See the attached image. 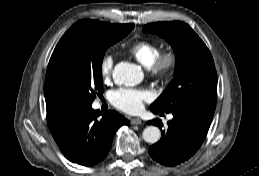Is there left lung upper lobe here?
Masks as SVG:
<instances>
[{"instance_id":"5c2ea615","label":"left lung upper lobe","mask_w":259,"mask_h":176,"mask_svg":"<svg viewBox=\"0 0 259 176\" xmlns=\"http://www.w3.org/2000/svg\"><path fill=\"white\" fill-rule=\"evenodd\" d=\"M143 31L163 37L176 54L174 79L150 109L167 113L193 109L213 116L217 73L204 42L189 25L180 21L151 23Z\"/></svg>"}]
</instances>
